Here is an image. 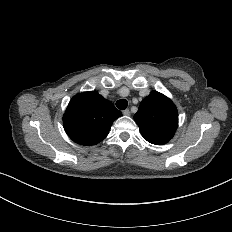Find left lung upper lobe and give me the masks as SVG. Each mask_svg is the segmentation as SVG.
Listing matches in <instances>:
<instances>
[{
  "instance_id": "obj_1",
  "label": "left lung upper lobe",
  "mask_w": 232,
  "mask_h": 232,
  "mask_svg": "<svg viewBox=\"0 0 232 232\" xmlns=\"http://www.w3.org/2000/svg\"><path fill=\"white\" fill-rule=\"evenodd\" d=\"M142 136L150 143L163 145L174 135L178 126V112L165 95L152 91L134 115Z\"/></svg>"
}]
</instances>
